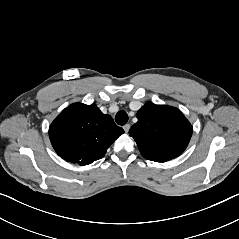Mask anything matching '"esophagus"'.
I'll list each match as a JSON object with an SVG mask.
<instances>
[{"label":"esophagus","mask_w":239,"mask_h":239,"mask_svg":"<svg viewBox=\"0 0 239 239\" xmlns=\"http://www.w3.org/2000/svg\"><path fill=\"white\" fill-rule=\"evenodd\" d=\"M124 131L127 133L130 129V124H126L123 126Z\"/></svg>","instance_id":"obj_1"}]
</instances>
